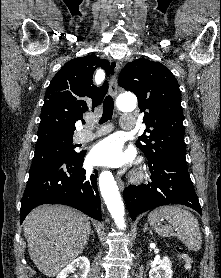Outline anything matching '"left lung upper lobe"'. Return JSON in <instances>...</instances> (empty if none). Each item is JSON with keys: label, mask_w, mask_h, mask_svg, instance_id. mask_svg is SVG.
I'll return each mask as SVG.
<instances>
[{"label": "left lung upper lobe", "mask_w": 221, "mask_h": 278, "mask_svg": "<svg viewBox=\"0 0 221 278\" xmlns=\"http://www.w3.org/2000/svg\"><path fill=\"white\" fill-rule=\"evenodd\" d=\"M119 85L138 98L145 133L136 146L149 164L171 154L185 155L181 92L173 74L159 62L137 59L128 63L119 75Z\"/></svg>", "instance_id": "1"}]
</instances>
